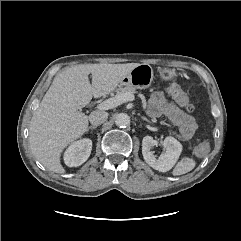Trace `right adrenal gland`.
<instances>
[{
	"label": "right adrenal gland",
	"mask_w": 241,
	"mask_h": 241,
	"mask_svg": "<svg viewBox=\"0 0 241 241\" xmlns=\"http://www.w3.org/2000/svg\"><path fill=\"white\" fill-rule=\"evenodd\" d=\"M96 128H97V126H94V125L89 126V127L87 128L86 132H88L90 129L93 130V129H96Z\"/></svg>",
	"instance_id": "1"
}]
</instances>
